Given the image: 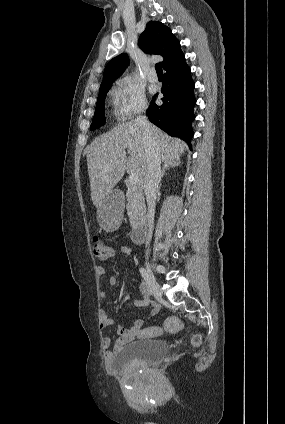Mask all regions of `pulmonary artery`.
Wrapping results in <instances>:
<instances>
[{
    "mask_svg": "<svg viewBox=\"0 0 285 424\" xmlns=\"http://www.w3.org/2000/svg\"><path fill=\"white\" fill-rule=\"evenodd\" d=\"M147 78L150 82H156L158 80V77H157L156 73H154V71H150L148 73Z\"/></svg>",
    "mask_w": 285,
    "mask_h": 424,
    "instance_id": "pulmonary-artery-1",
    "label": "pulmonary artery"
}]
</instances>
